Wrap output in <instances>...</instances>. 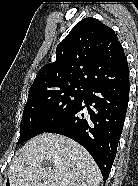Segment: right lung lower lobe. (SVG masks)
Returning <instances> with one entry per match:
<instances>
[{
	"label": "right lung lower lobe",
	"mask_w": 138,
	"mask_h": 186,
	"mask_svg": "<svg viewBox=\"0 0 138 186\" xmlns=\"http://www.w3.org/2000/svg\"><path fill=\"white\" fill-rule=\"evenodd\" d=\"M128 101L129 79L119 84L88 87L82 102L45 132L58 133L81 144L97 163L106 182L115 159Z\"/></svg>",
	"instance_id": "1"
}]
</instances>
